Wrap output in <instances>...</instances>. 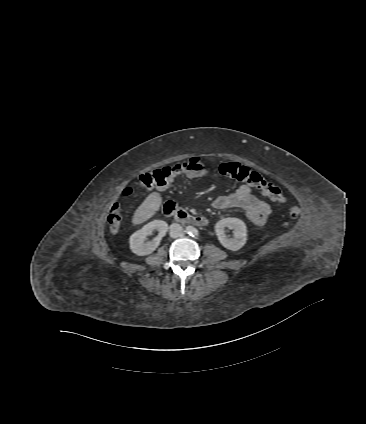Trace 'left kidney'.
I'll list each match as a JSON object with an SVG mask.
<instances>
[{
  "label": "left kidney",
  "instance_id": "left-kidney-1",
  "mask_svg": "<svg viewBox=\"0 0 366 424\" xmlns=\"http://www.w3.org/2000/svg\"><path fill=\"white\" fill-rule=\"evenodd\" d=\"M234 230V238H228L225 234V228ZM215 232L219 242L231 251L241 249L247 241V227L245 223L238 218H224L215 225Z\"/></svg>",
  "mask_w": 366,
  "mask_h": 424
}]
</instances>
